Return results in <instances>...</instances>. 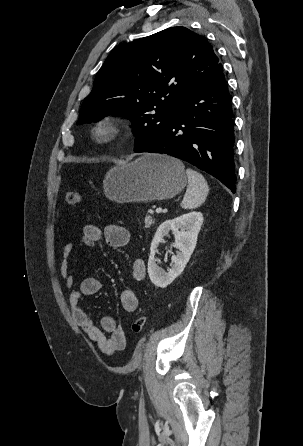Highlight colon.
<instances>
[{
	"label": "colon",
	"mask_w": 303,
	"mask_h": 446,
	"mask_svg": "<svg viewBox=\"0 0 303 446\" xmlns=\"http://www.w3.org/2000/svg\"><path fill=\"white\" fill-rule=\"evenodd\" d=\"M66 202L71 206H78L82 203L81 197L76 191H69L66 194ZM146 325V317L139 316L132 323V330L134 333H141Z\"/></svg>",
	"instance_id": "1"
}]
</instances>
